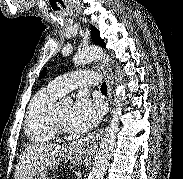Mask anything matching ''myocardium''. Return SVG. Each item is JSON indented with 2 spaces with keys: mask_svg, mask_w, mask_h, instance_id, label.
<instances>
[{
  "mask_svg": "<svg viewBox=\"0 0 183 179\" xmlns=\"http://www.w3.org/2000/svg\"><path fill=\"white\" fill-rule=\"evenodd\" d=\"M52 123H53V126H54L56 132L63 133V134H67V133L70 132V131L62 124V122L60 121L59 115H58V111H57V108H55L54 111H53Z\"/></svg>",
  "mask_w": 183,
  "mask_h": 179,
  "instance_id": "myocardium-1",
  "label": "myocardium"
}]
</instances>
